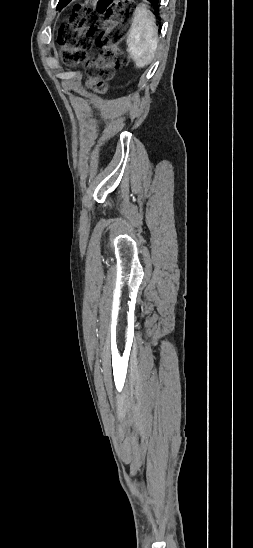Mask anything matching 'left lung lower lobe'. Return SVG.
<instances>
[{"label": "left lung lower lobe", "mask_w": 253, "mask_h": 548, "mask_svg": "<svg viewBox=\"0 0 253 548\" xmlns=\"http://www.w3.org/2000/svg\"><path fill=\"white\" fill-rule=\"evenodd\" d=\"M71 0H61L59 3H58V6H57V9L60 10L62 9L63 7H65ZM149 2L152 3V5L154 6V8L156 10L159 9V1L160 0H148Z\"/></svg>", "instance_id": "1"}]
</instances>
